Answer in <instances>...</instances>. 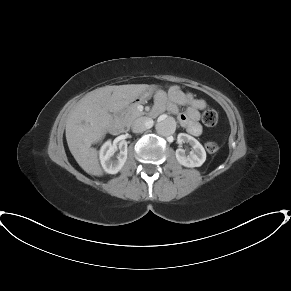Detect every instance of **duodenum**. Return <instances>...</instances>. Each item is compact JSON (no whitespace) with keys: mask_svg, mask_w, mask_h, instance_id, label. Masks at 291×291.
Segmentation results:
<instances>
[{"mask_svg":"<svg viewBox=\"0 0 291 291\" xmlns=\"http://www.w3.org/2000/svg\"><path fill=\"white\" fill-rule=\"evenodd\" d=\"M109 130L113 135H120L126 132V127L119 118V111L113 114V120L109 125Z\"/></svg>","mask_w":291,"mask_h":291,"instance_id":"duodenum-1","label":"duodenum"}]
</instances>
